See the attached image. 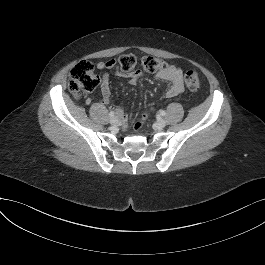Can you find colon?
I'll return each instance as SVG.
<instances>
[{"label": "colon", "instance_id": "obj_1", "mask_svg": "<svg viewBox=\"0 0 265 265\" xmlns=\"http://www.w3.org/2000/svg\"><path fill=\"white\" fill-rule=\"evenodd\" d=\"M118 68L125 74H130L137 71L140 66L144 71L149 73L162 72L167 68L166 63L153 56H144L140 60L134 54H124L116 61ZM184 80L187 88L196 92L201 88V78L197 71L188 70L184 75ZM99 83V77L94 71V66L89 61H80L74 66L70 72L68 88L74 94L92 92ZM148 115L145 114L142 120L137 122L134 126L136 131L142 129L144 121Z\"/></svg>", "mask_w": 265, "mask_h": 265}]
</instances>
